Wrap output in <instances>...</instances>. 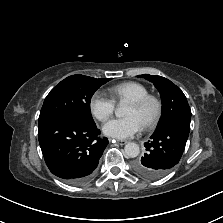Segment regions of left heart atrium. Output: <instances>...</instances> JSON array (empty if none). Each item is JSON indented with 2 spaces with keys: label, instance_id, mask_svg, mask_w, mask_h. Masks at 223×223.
<instances>
[{
  "label": "left heart atrium",
  "instance_id": "left-heart-atrium-1",
  "mask_svg": "<svg viewBox=\"0 0 223 223\" xmlns=\"http://www.w3.org/2000/svg\"><path fill=\"white\" fill-rule=\"evenodd\" d=\"M141 129V124L133 116L115 118L103 126L105 135L115 139H127L135 135Z\"/></svg>",
  "mask_w": 223,
  "mask_h": 223
}]
</instances>
